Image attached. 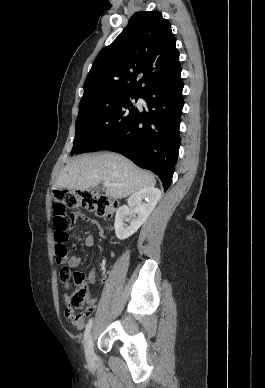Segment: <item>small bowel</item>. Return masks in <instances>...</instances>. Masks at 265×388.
<instances>
[{"mask_svg": "<svg viewBox=\"0 0 265 388\" xmlns=\"http://www.w3.org/2000/svg\"><path fill=\"white\" fill-rule=\"evenodd\" d=\"M79 216H83V217H86L85 215H82V214H77V213H73L71 214V220L74 222ZM100 235L101 236H104V232L103 230H100ZM84 244L88 247H91L93 245H95L96 243V239L95 237L91 236V235H88L84 238L83 240ZM80 264V260L76 257H72L69 259V265L71 267H75V266H78ZM96 272H97V269L96 267H93L89 274H88V282L91 283V284H94L95 281H96ZM105 283V282H104ZM66 296V295H65ZM99 297L96 296L94 297L90 304L86 307L85 311H84V316H88L90 315L93 311H94V308H95V303L98 301ZM78 329H82L84 327V320L83 318L75 325Z\"/></svg>", "mask_w": 265, "mask_h": 388, "instance_id": "c3829d8e", "label": "small bowel"}]
</instances>
